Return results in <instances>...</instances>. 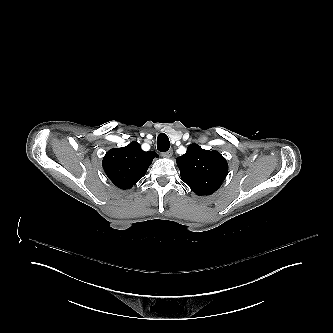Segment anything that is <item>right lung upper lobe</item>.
I'll return each mask as SVG.
<instances>
[{"label":"right lung upper lobe","instance_id":"right-lung-upper-lobe-1","mask_svg":"<svg viewBox=\"0 0 333 333\" xmlns=\"http://www.w3.org/2000/svg\"><path fill=\"white\" fill-rule=\"evenodd\" d=\"M154 151L145 152L136 141L122 148L109 150L103 158V169L108 178L120 189H130L147 172Z\"/></svg>","mask_w":333,"mask_h":333}]
</instances>
